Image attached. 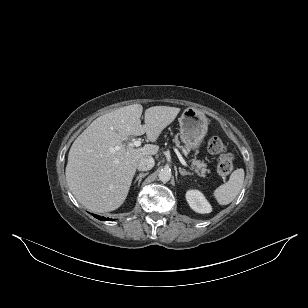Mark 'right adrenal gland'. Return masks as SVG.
Segmentation results:
<instances>
[{"instance_id":"1","label":"right adrenal gland","mask_w":308,"mask_h":308,"mask_svg":"<svg viewBox=\"0 0 308 308\" xmlns=\"http://www.w3.org/2000/svg\"><path fill=\"white\" fill-rule=\"evenodd\" d=\"M146 175H148V173H140V174L136 177V179H135V181H134V184L138 181V186H140V183H141V181H142V178L145 177Z\"/></svg>"}]
</instances>
